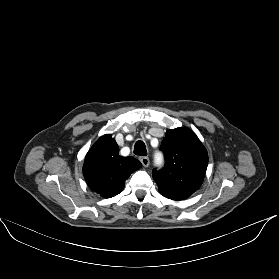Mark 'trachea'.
I'll return each mask as SVG.
<instances>
[{
    "label": "trachea",
    "instance_id": "obj_1",
    "mask_svg": "<svg viewBox=\"0 0 279 279\" xmlns=\"http://www.w3.org/2000/svg\"><path fill=\"white\" fill-rule=\"evenodd\" d=\"M133 152H134L135 155L146 156L147 155V150H146V146H145L144 142L141 141V140H138L135 143Z\"/></svg>",
    "mask_w": 279,
    "mask_h": 279
}]
</instances>
